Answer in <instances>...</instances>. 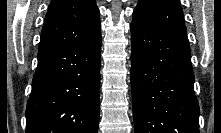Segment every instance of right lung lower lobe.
<instances>
[{
  "mask_svg": "<svg viewBox=\"0 0 221 133\" xmlns=\"http://www.w3.org/2000/svg\"><path fill=\"white\" fill-rule=\"evenodd\" d=\"M101 30L74 46L38 51L26 133H98Z\"/></svg>",
  "mask_w": 221,
  "mask_h": 133,
  "instance_id": "98d812e1",
  "label": "right lung lower lobe"
}]
</instances>
